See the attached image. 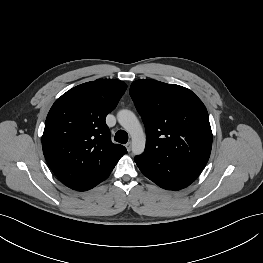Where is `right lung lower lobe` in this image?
Returning <instances> with one entry per match:
<instances>
[{
	"label": "right lung lower lobe",
	"instance_id": "98d812e1",
	"mask_svg": "<svg viewBox=\"0 0 263 263\" xmlns=\"http://www.w3.org/2000/svg\"><path fill=\"white\" fill-rule=\"evenodd\" d=\"M111 173V172H110ZM110 173L104 175L103 177H101L100 179L96 180L95 182L91 183V184H88L86 186H83L81 188H79L78 190L79 191H86V190H89L93 187H95L96 185H98L100 182L104 181L105 179H107V177L110 175Z\"/></svg>",
	"mask_w": 263,
	"mask_h": 263
}]
</instances>
